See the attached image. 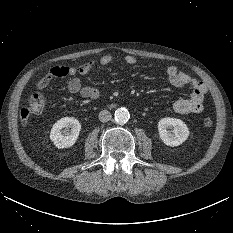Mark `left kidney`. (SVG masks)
<instances>
[{"mask_svg": "<svg viewBox=\"0 0 233 233\" xmlns=\"http://www.w3.org/2000/svg\"><path fill=\"white\" fill-rule=\"evenodd\" d=\"M173 128V131L167 129ZM159 137L164 144L174 147L188 139L189 129L187 125L177 118H162L158 122Z\"/></svg>", "mask_w": 233, "mask_h": 233, "instance_id": "left-kidney-1", "label": "left kidney"}]
</instances>
